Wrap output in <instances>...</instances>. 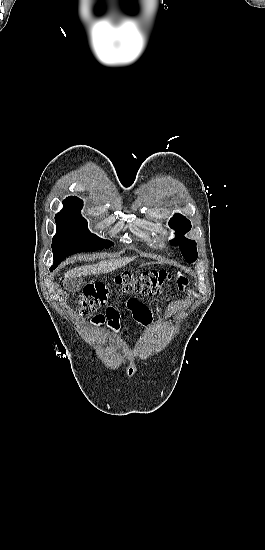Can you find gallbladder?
Listing matches in <instances>:
<instances>
[{"instance_id": "1", "label": "gallbladder", "mask_w": 265, "mask_h": 550, "mask_svg": "<svg viewBox=\"0 0 265 550\" xmlns=\"http://www.w3.org/2000/svg\"><path fill=\"white\" fill-rule=\"evenodd\" d=\"M83 281L80 278L68 279L66 282V288L71 292H76L81 289Z\"/></svg>"}]
</instances>
